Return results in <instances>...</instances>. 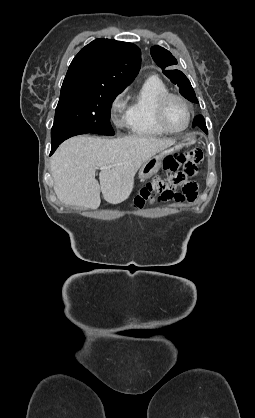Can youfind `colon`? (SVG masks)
<instances>
[{
    "mask_svg": "<svg viewBox=\"0 0 255 418\" xmlns=\"http://www.w3.org/2000/svg\"><path fill=\"white\" fill-rule=\"evenodd\" d=\"M202 158V151L198 148L168 157L164 163L165 177L155 176L142 187L133 199L132 208L140 210L155 197L164 201L171 198L176 201H193L197 197L198 188L192 178L197 174ZM176 189H181V193L175 192Z\"/></svg>",
    "mask_w": 255,
    "mask_h": 418,
    "instance_id": "5ec220e1",
    "label": "colon"
}]
</instances>
